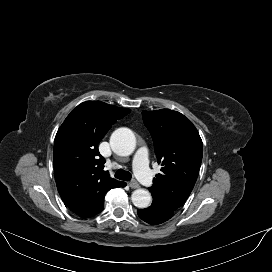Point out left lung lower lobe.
<instances>
[{"label":"left lung lower lobe","mask_w":272,"mask_h":272,"mask_svg":"<svg viewBox=\"0 0 272 272\" xmlns=\"http://www.w3.org/2000/svg\"><path fill=\"white\" fill-rule=\"evenodd\" d=\"M137 213L143 221L152 225L161 224L174 215L173 211L157 202H152L151 206L148 208L137 210Z\"/></svg>","instance_id":"obj_1"}]
</instances>
